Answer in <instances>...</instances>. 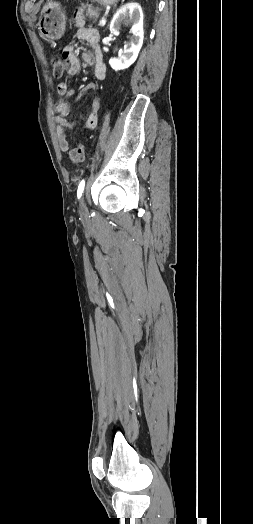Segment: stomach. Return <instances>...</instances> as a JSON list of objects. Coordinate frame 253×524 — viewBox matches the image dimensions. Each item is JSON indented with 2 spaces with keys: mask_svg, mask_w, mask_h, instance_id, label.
Returning <instances> with one entry per match:
<instances>
[{
  "mask_svg": "<svg viewBox=\"0 0 253 524\" xmlns=\"http://www.w3.org/2000/svg\"><path fill=\"white\" fill-rule=\"evenodd\" d=\"M103 6H109L117 3L119 0H95ZM66 14L61 5L57 2L50 1L42 9L38 29L40 34L49 40L60 39L66 27Z\"/></svg>",
  "mask_w": 253,
  "mask_h": 524,
  "instance_id": "0dacf381",
  "label": "stomach"
}]
</instances>
